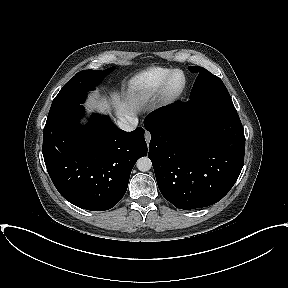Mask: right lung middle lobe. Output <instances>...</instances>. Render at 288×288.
I'll return each instance as SVG.
<instances>
[{"mask_svg":"<svg viewBox=\"0 0 288 288\" xmlns=\"http://www.w3.org/2000/svg\"><path fill=\"white\" fill-rule=\"evenodd\" d=\"M111 70H83L78 72L63 86L53 100L47 119L83 103L87 92L93 90Z\"/></svg>","mask_w":288,"mask_h":288,"instance_id":"dd1d6c3e","label":"right lung middle lobe"}]
</instances>
